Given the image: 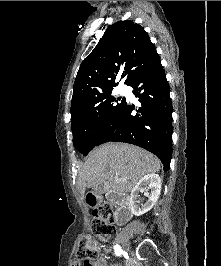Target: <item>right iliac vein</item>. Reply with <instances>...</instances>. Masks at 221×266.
Listing matches in <instances>:
<instances>
[{"label":"right iliac vein","mask_w":221,"mask_h":266,"mask_svg":"<svg viewBox=\"0 0 221 266\" xmlns=\"http://www.w3.org/2000/svg\"><path fill=\"white\" fill-rule=\"evenodd\" d=\"M123 248H124V250L127 251V252H128L129 249H130L129 246H128L127 244H124V245H123Z\"/></svg>","instance_id":"63e3f726"}]
</instances>
